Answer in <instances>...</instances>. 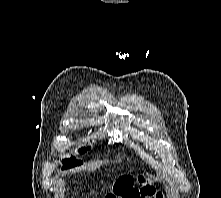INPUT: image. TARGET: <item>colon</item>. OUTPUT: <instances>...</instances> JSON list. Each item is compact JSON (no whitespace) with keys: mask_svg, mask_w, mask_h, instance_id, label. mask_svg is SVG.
<instances>
[{"mask_svg":"<svg viewBox=\"0 0 221 198\" xmlns=\"http://www.w3.org/2000/svg\"><path fill=\"white\" fill-rule=\"evenodd\" d=\"M139 183L141 186L137 187L133 177H122L115 183L113 192L108 194L105 198L163 197L161 193H156V190L147 178L140 177Z\"/></svg>","mask_w":221,"mask_h":198,"instance_id":"1","label":"colon"}]
</instances>
